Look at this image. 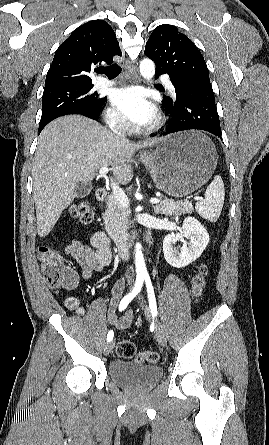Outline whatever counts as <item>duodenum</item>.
Segmentation results:
<instances>
[{"label": "duodenum", "instance_id": "obj_1", "mask_svg": "<svg viewBox=\"0 0 269 445\" xmlns=\"http://www.w3.org/2000/svg\"><path fill=\"white\" fill-rule=\"evenodd\" d=\"M108 197V192L104 188H99L96 191V198L98 201H105ZM117 252L122 258H128L130 256V246L126 241H119L116 245Z\"/></svg>", "mask_w": 269, "mask_h": 445}]
</instances>
